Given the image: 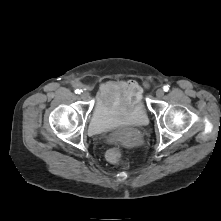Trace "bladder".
<instances>
[{"instance_id": "31cf9c89", "label": "bladder", "mask_w": 221, "mask_h": 221, "mask_svg": "<svg viewBox=\"0 0 221 221\" xmlns=\"http://www.w3.org/2000/svg\"><path fill=\"white\" fill-rule=\"evenodd\" d=\"M147 122L148 115L140 100L127 108L118 101H110L106 93L100 92L92 110L89 130L94 135H100L122 125L143 126Z\"/></svg>"}]
</instances>
